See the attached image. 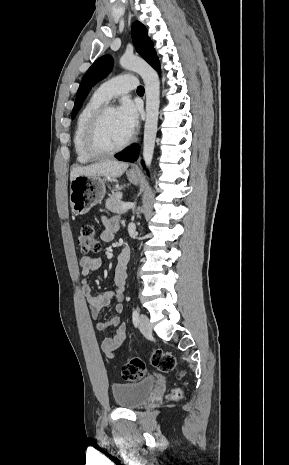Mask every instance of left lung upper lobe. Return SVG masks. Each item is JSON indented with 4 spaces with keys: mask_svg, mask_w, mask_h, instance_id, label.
Here are the masks:
<instances>
[{
    "mask_svg": "<svg viewBox=\"0 0 289 465\" xmlns=\"http://www.w3.org/2000/svg\"><path fill=\"white\" fill-rule=\"evenodd\" d=\"M131 34L137 52L159 71V61L145 26L141 22L135 21L132 24ZM112 66L113 59L110 55L102 56L93 63L84 75L77 91L72 116L80 109L90 89L110 72Z\"/></svg>",
    "mask_w": 289,
    "mask_h": 465,
    "instance_id": "5c2ea615",
    "label": "left lung upper lobe"
}]
</instances>
